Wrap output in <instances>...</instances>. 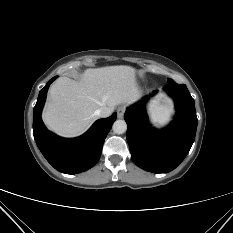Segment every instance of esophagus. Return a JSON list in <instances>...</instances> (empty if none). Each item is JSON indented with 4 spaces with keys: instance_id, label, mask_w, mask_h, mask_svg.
I'll return each instance as SVG.
<instances>
[{
    "instance_id": "34e87169",
    "label": "esophagus",
    "mask_w": 233,
    "mask_h": 233,
    "mask_svg": "<svg viewBox=\"0 0 233 233\" xmlns=\"http://www.w3.org/2000/svg\"><path fill=\"white\" fill-rule=\"evenodd\" d=\"M125 111H126L125 106H119L117 109L118 118L122 119L124 117Z\"/></svg>"
}]
</instances>
